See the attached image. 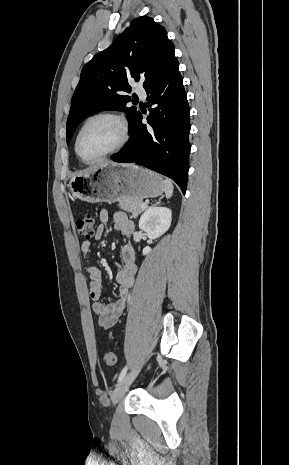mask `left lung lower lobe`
Listing matches in <instances>:
<instances>
[{"mask_svg": "<svg viewBox=\"0 0 289 465\" xmlns=\"http://www.w3.org/2000/svg\"><path fill=\"white\" fill-rule=\"evenodd\" d=\"M150 114L142 123L138 112L129 128L126 148L111 156L115 162H135L173 179L185 194L191 145L190 110L179 66L156 84L145 89Z\"/></svg>", "mask_w": 289, "mask_h": 465, "instance_id": "left-lung-lower-lobe-1", "label": "left lung lower lobe"}]
</instances>
